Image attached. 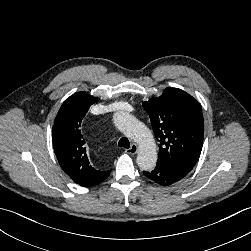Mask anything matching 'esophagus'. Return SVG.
Instances as JSON below:
<instances>
[{"instance_id": "obj_1", "label": "esophagus", "mask_w": 251, "mask_h": 251, "mask_svg": "<svg viewBox=\"0 0 251 251\" xmlns=\"http://www.w3.org/2000/svg\"><path fill=\"white\" fill-rule=\"evenodd\" d=\"M137 152H138V146L135 143H133L129 149H126L127 154L134 155Z\"/></svg>"}]
</instances>
